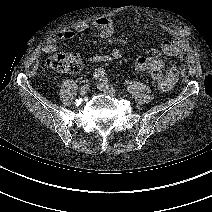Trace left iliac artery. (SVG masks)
<instances>
[{
  "instance_id": "left-iliac-artery-1",
  "label": "left iliac artery",
  "mask_w": 212,
  "mask_h": 212,
  "mask_svg": "<svg viewBox=\"0 0 212 212\" xmlns=\"http://www.w3.org/2000/svg\"><path fill=\"white\" fill-rule=\"evenodd\" d=\"M100 81H102V82H104V83H107V82H108L107 76L101 77Z\"/></svg>"
}]
</instances>
